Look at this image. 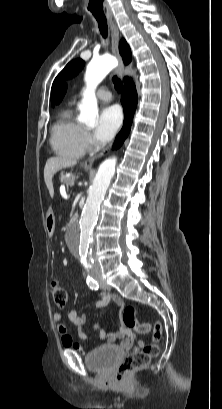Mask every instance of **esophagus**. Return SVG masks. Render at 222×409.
<instances>
[{
  "instance_id": "obj_1",
  "label": "esophagus",
  "mask_w": 222,
  "mask_h": 409,
  "mask_svg": "<svg viewBox=\"0 0 222 409\" xmlns=\"http://www.w3.org/2000/svg\"><path fill=\"white\" fill-rule=\"evenodd\" d=\"M110 27H111V39H112L111 40V51H112V54L119 60V65L116 68V73L121 79H123V65H122L119 50H118L119 40H120L119 30H118L116 23H113L112 21H110ZM110 148L111 147L109 146L105 148L103 151H101L100 153H98L97 155L86 159L84 161V165L86 167H91L94 161L102 157L103 155L107 154L110 151Z\"/></svg>"
}]
</instances>
